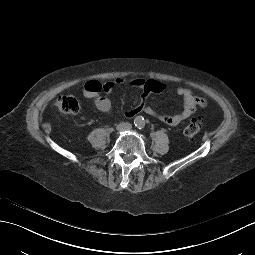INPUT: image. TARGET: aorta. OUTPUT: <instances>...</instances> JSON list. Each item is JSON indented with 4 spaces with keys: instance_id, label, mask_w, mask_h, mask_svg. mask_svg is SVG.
<instances>
[{
    "instance_id": "aorta-1",
    "label": "aorta",
    "mask_w": 255,
    "mask_h": 255,
    "mask_svg": "<svg viewBox=\"0 0 255 255\" xmlns=\"http://www.w3.org/2000/svg\"><path fill=\"white\" fill-rule=\"evenodd\" d=\"M135 123L139 126L144 124V119L141 116L135 118Z\"/></svg>"
}]
</instances>
